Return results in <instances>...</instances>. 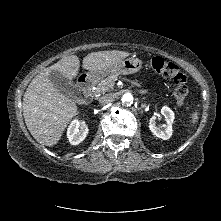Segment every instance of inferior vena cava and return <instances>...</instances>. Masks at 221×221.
Instances as JSON below:
<instances>
[{
  "mask_svg": "<svg viewBox=\"0 0 221 221\" xmlns=\"http://www.w3.org/2000/svg\"><path fill=\"white\" fill-rule=\"evenodd\" d=\"M113 95L106 94L99 98V104L100 105H107L113 101Z\"/></svg>",
  "mask_w": 221,
  "mask_h": 221,
  "instance_id": "1",
  "label": "inferior vena cava"
}]
</instances>
